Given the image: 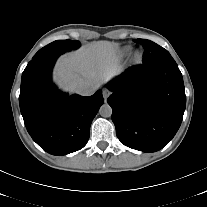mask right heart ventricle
Instances as JSON below:
<instances>
[{
  "mask_svg": "<svg viewBox=\"0 0 207 207\" xmlns=\"http://www.w3.org/2000/svg\"><path fill=\"white\" fill-rule=\"evenodd\" d=\"M131 51V48L130 47H124L122 50H121V55L122 56H126L130 53Z\"/></svg>",
  "mask_w": 207,
  "mask_h": 207,
  "instance_id": "e07e8e85",
  "label": "right heart ventricle"
}]
</instances>
